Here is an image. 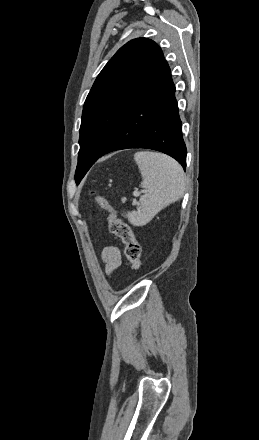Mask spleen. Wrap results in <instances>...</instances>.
I'll return each instance as SVG.
<instances>
[{
  "instance_id": "3e777b00",
  "label": "spleen",
  "mask_w": 259,
  "mask_h": 440,
  "mask_svg": "<svg viewBox=\"0 0 259 440\" xmlns=\"http://www.w3.org/2000/svg\"><path fill=\"white\" fill-rule=\"evenodd\" d=\"M134 159L142 175L141 187L145 194L136 211L125 216L134 226H143L162 209L178 201L185 191V180L177 161L162 153L140 151Z\"/></svg>"
}]
</instances>
